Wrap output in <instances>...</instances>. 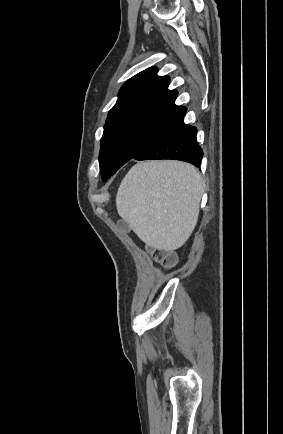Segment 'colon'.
Returning a JSON list of instances; mask_svg holds the SVG:
<instances>
[{"label":"colon","mask_w":283,"mask_h":434,"mask_svg":"<svg viewBox=\"0 0 283 434\" xmlns=\"http://www.w3.org/2000/svg\"><path fill=\"white\" fill-rule=\"evenodd\" d=\"M153 258L156 262L164 266L165 268H170L175 264L174 255L166 250L156 249L153 251Z\"/></svg>","instance_id":"1"}]
</instances>
